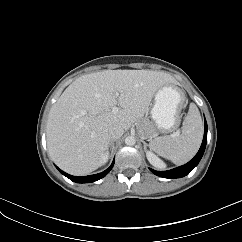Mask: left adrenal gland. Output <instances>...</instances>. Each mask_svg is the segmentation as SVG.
I'll list each match as a JSON object with an SVG mask.
<instances>
[{"label": "left adrenal gland", "instance_id": "obj_1", "mask_svg": "<svg viewBox=\"0 0 242 242\" xmlns=\"http://www.w3.org/2000/svg\"><path fill=\"white\" fill-rule=\"evenodd\" d=\"M142 142H143V144H144V150L147 151V146H148V144H147L144 140H142Z\"/></svg>", "mask_w": 242, "mask_h": 242}]
</instances>
